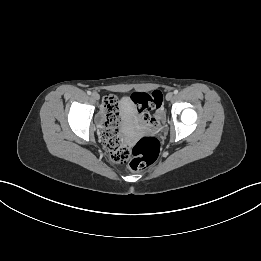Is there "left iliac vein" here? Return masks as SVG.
Returning a JSON list of instances; mask_svg holds the SVG:
<instances>
[{"instance_id": "4c4485c4", "label": "left iliac vein", "mask_w": 261, "mask_h": 261, "mask_svg": "<svg viewBox=\"0 0 261 261\" xmlns=\"http://www.w3.org/2000/svg\"><path fill=\"white\" fill-rule=\"evenodd\" d=\"M173 97H174V95H173V93H172V92H168V93L166 94V100H167V101H170V100H172V99H173Z\"/></svg>"}]
</instances>
